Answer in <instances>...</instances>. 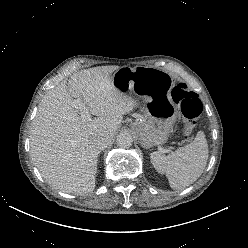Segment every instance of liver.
Masks as SVG:
<instances>
[{
    "mask_svg": "<svg viewBox=\"0 0 248 248\" xmlns=\"http://www.w3.org/2000/svg\"><path fill=\"white\" fill-rule=\"evenodd\" d=\"M119 66L81 70L47 92L30 130V155L42 177L62 192L84 195L95 188L100 151L93 139L111 141L123 115L137 102L118 90L111 74ZM77 101L97 118H82ZM110 141V142H111Z\"/></svg>",
    "mask_w": 248,
    "mask_h": 248,
    "instance_id": "6515ba94",
    "label": "liver"
}]
</instances>
